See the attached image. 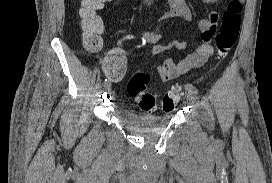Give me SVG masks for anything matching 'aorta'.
<instances>
[{"mask_svg": "<svg viewBox=\"0 0 272 183\" xmlns=\"http://www.w3.org/2000/svg\"><path fill=\"white\" fill-rule=\"evenodd\" d=\"M145 2H146L148 5H150L151 0H146Z\"/></svg>", "mask_w": 272, "mask_h": 183, "instance_id": "obj_1", "label": "aorta"}]
</instances>
